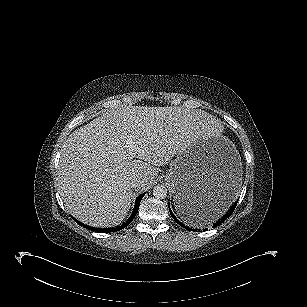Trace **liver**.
<instances>
[{
	"label": "liver",
	"mask_w": 307,
	"mask_h": 307,
	"mask_svg": "<svg viewBox=\"0 0 307 307\" xmlns=\"http://www.w3.org/2000/svg\"><path fill=\"white\" fill-rule=\"evenodd\" d=\"M220 123L203 111L127 106L105 111L70 134L60 152L57 181L69 213L93 227H112L127 216L134 179L148 190L178 151Z\"/></svg>",
	"instance_id": "liver-1"
}]
</instances>
